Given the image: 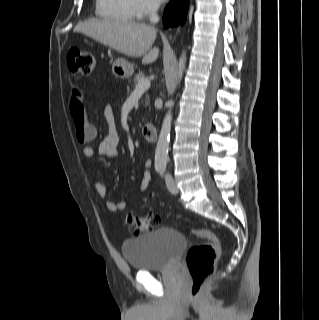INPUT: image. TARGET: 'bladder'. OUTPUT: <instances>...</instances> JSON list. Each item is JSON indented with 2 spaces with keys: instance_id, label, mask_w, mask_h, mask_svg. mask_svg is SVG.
<instances>
[{
  "instance_id": "obj_1",
  "label": "bladder",
  "mask_w": 319,
  "mask_h": 320,
  "mask_svg": "<svg viewBox=\"0 0 319 320\" xmlns=\"http://www.w3.org/2000/svg\"><path fill=\"white\" fill-rule=\"evenodd\" d=\"M187 247L184 233L162 227L125 240L122 252L133 270L152 272L170 268Z\"/></svg>"
}]
</instances>
